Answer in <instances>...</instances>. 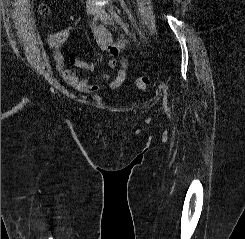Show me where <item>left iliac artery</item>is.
Segmentation results:
<instances>
[{"label": "left iliac artery", "instance_id": "obj_1", "mask_svg": "<svg viewBox=\"0 0 245 239\" xmlns=\"http://www.w3.org/2000/svg\"><path fill=\"white\" fill-rule=\"evenodd\" d=\"M109 11L112 15V17L114 18V20L123 28V30L129 34L130 36H132V34L130 33L128 26L124 23V21L121 19V17L116 13V11L112 8L109 7ZM161 87L163 88L164 91V99H163V104L164 107L167 108V86L162 83Z\"/></svg>", "mask_w": 245, "mask_h": 239}]
</instances>
